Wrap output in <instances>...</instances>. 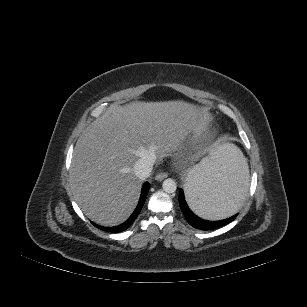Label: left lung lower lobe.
I'll return each instance as SVG.
<instances>
[{
  "label": "left lung lower lobe",
  "instance_id": "obj_1",
  "mask_svg": "<svg viewBox=\"0 0 307 307\" xmlns=\"http://www.w3.org/2000/svg\"><path fill=\"white\" fill-rule=\"evenodd\" d=\"M248 187V175L240 168L231 169L226 173V178L224 179L223 194L227 199L233 202H240L247 192ZM179 204L182 213L186 217L188 223L200 230L208 231L220 228L231 221H233L237 215H233L229 218L218 220V221H208L204 220L197 215H195L187 206L185 201L184 192L179 189Z\"/></svg>",
  "mask_w": 307,
  "mask_h": 307
}]
</instances>
